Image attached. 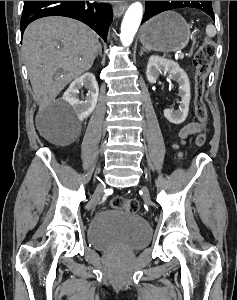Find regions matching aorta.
Listing matches in <instances>:
<instances>
[{"instance_id":"762f6f07","label":"aorta","mask_w":237,"mask_h":300,"mask_svg":"<svg viewBox=\"0 0 237 300\" xmlns=\"http://www.w3.org/2000/svg\"><path fill=\"white\" fill-rule=\"evenodd\" d=\"M143 15V7L141 3H133L130 5L128 11L121 25L120 41L123 47H129L133 43V39L138 31Z\"/></svg>"}]
</instances>
